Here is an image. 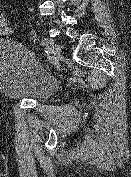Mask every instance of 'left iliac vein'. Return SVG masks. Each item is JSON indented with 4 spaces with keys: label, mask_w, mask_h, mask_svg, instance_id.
Returning a JSON list of instances; mask_svg holds the SVG:
<instances>
[{
    "label": "left iliac vein",
    "mask_w": 131,
    "mask_h": 177,
    "mask_svg": "<svg viewBox=\"0 0 131 177\" xmlns=\"http://www.w3.org/2000/svg\"><path fill=\"white\" fill-rule=\"evenodd\" d=\"M50 52L52 53V59L58 61L61 57V50L58 44H52L50 47Z\"/></svg>",
    "instance_id": "1"
}]
</instances>
